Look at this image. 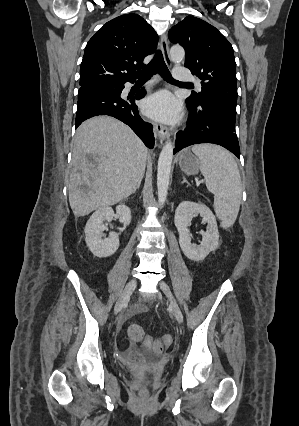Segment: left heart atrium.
Wrapping results in <instances>:
<instances>
[{
	"mask_svg": "<svg viewBox=\"0 0 299 426\" xmlns=\"http://www.w3.org/2000/svg\"><path fill=\"white\" fill-rule=\"evenodd\" d=\"M145 113L162 122L172 123L181 115L179 101L168 91H159L146 99L143 105Z\"/></svg>",
	"mask_w": 299,
	"mask_h": 426,
	"instance_id": "1",
	"label": "left heart atrium"
}]
</instances>
